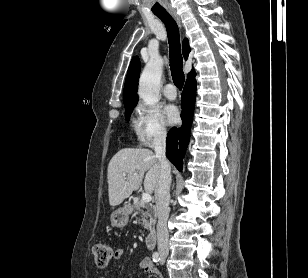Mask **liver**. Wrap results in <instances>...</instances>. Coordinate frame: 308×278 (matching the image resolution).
<instances>
[{
  "label": "liver",
  "instance_id": "6515ba94",
  "mask_svg": "<svg viewBox=\"0 0 308 278\" xmlns=\"http://www.w3.org/2000/svg\"><path fill=\"white\" fill-rule=\"evenodd\" d=\"M160 172V163L151 150L145 148L119 150L108 165L110 205L117 206L122 203L141 186L143 179L145 191L152 193L160 178Z\"/></svg>",
  "mask_w": 308,
  "mask_h": 278
}]
</instances>
